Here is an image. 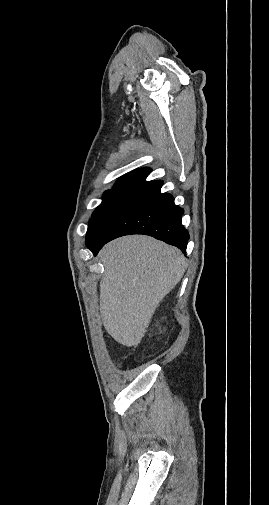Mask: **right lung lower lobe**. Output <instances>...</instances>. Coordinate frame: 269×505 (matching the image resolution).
<instances>
[{
  "instance_id": "right-lung-lower-lobe-1",
  "label": "right lung lower lobe",
  "mask_w": 269,
  "mask_h": 505,
  "mask_svg": "<svg viewBox=\"0 0 269 505\" xmlns=\"http://www.w3.org/2000/svg\"><path fill=\"white\" fill-rule=\"evenodd\" d=\"M162 185L161 180L152 181L129 200L88 246L95 256L107 242L129 234L150 235L186 252L189 233L181 223L184 211L170 194L160 192Z\"/></svg>"
}]
</instances>
